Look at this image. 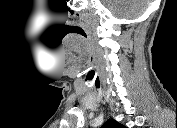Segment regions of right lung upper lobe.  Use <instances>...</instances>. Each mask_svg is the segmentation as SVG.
Returning a JSON list of instances; mask_svg holds the SVG:
<instances>
[{
	"instance_id": "obj_1",
	"label": "right lung upper lobe",
	"mask_w": 177,
	"mask_h": 128,
	"mask_svg": "<svg viewBox=\"0 0 177 128\" xmlns=\"http://www.w3.org/2000/svg\"><path fill=\"white\" fill-rule=\"evenodd\" d=\"M104 128H125L122 124L118 123L114 119H109L108 121L105 122L103 125Z\"/></svg>"
}]
</instances>
